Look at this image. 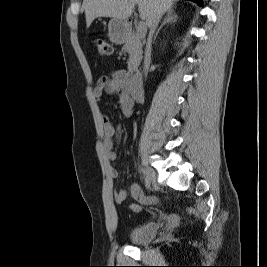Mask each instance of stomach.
<instances>
[{
    "label": "stomach",
    "mask_w": 267,
    "mask_h": 267,
    "mask_svg": "<svg viewBox=\"0 0 267 267\" xmlns=\"http://www.w3.org/2000/svg\"><path fill=\"white\" fill-rule=\"evenodd\" d=\"M129 32V23L126 20L112 18L108 23V36L113 43H122Z\"/></svg>",
    "instance_id": "stomach-1"
}]
</instances>
